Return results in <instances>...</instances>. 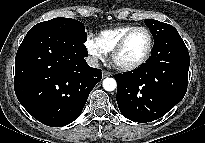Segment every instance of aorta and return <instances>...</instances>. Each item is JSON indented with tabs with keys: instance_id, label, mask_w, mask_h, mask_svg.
I'll return each instance as SVG.
<instances>
[{
	"instance_id": "1",
	"label": "aorta",
	"mask_w": 205,
	"mask_h": 143,
	"mask_svg": "<svg viewBox=\"0 0 205 143\" xmlns=\"http://www.w3.org/2000/svg\"><path fill=\"white\" fill-rule=\"evenodd\" d=\"M117 87L116 80L114 78H105L103 80V88L106 91H113Z\"/></svg>"
}]
</instances>
